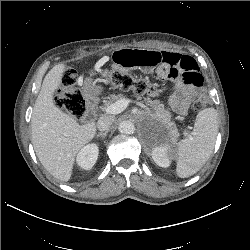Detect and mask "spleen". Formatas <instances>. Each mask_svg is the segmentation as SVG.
Listing matches in <instances>:
<instances>
[{
	"label": "spleen",
	"instance_id": "obj_1",
	"mask_svg": "<svg viewBox=\"0 0 250 250\" xmlns=\"http://www.w3.org/2000/svg\"><path fill=\"white\" fill-rule=\"evenodd\" d=\"M218 133V114L214 108L201 110L192 135L178 143L175 159L176 173L187 178L198 172L209 159Z\"/></svg>",
	"mask_w": 250,
	"mask_h": 250
}]
</instances>
